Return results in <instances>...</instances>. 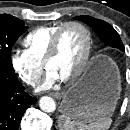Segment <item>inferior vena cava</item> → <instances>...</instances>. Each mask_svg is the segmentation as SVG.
Segmentation results:
<instances>
[{
	"instance_id": "inferior-vena-cava-1",
	"label": "inferior vena cava",
	"mask_w": 130,
	"mask_h": 130,
	"mask_svg": "<svg viewBox=\"0 0 130 130\" xmlns=\"http://www.w3.org/2000/svg\"><path fill=\"white\" fill-rule=\"evenodd\" d=\"M34 83H35V84H39V83H40V80H39L38 78H36V79L34 80Z\"/></svg>"
}]
</instances>
